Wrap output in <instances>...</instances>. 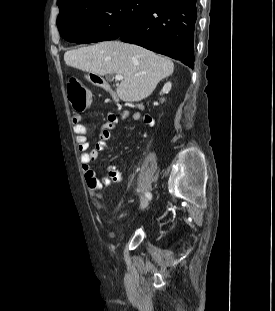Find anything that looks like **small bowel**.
<instances>
[{"label": "small bowel", "instance_id": "small-bowel-1", "mask_svg": "<svg viewBox=\"0 0 275 311\" xmlns=\"http://www.w3.org/2000/svg\"><path fill=\"white\" fill-rule=\"evenodd\" d=\"M129 116L130 112L128 110H122L117 113L110 114L103 130L99 135V140L93 148H90L87 141V127L82 122L81 115L77 111H74L72 114L74 132L76 135V143L79 151L84 180L89 190L94 194H98L101 191L102 183L107 184L111 181L119 182L121 180V176L114 166L109 167L108 177L100 180L90 164L95 161L99 154L108 147L110 131L116 127L120 120L127 119ZM132 118L135 121H143L150 127L155 124V121L151 116L143 115L140 111H135L132 114Z\"/></svg>", "mask_w": 275, "mask_h": 311}]
</instances>
